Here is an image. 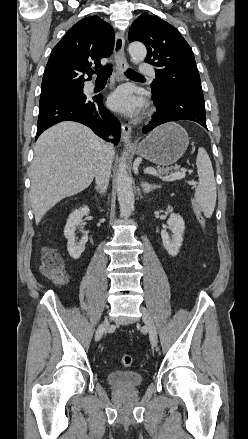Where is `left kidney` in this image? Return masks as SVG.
<instances>
[{
  "mask_svg": "<svg viewBox=\"0 0 248 439\" xmlns=\"http://www.w3.org/2000/svg\"><path fill=\"white\" fill-rule=\"evenodd\" d=\"M167 211L171 213L169 219L167 220V224L173 235L170 238L168 232L166 230H162V242L169 255L177 256L183 242L185 223L180 215L172 213L173 208L171 206H168Z\"/></svg>",
  "mask_w": 248,
  "mask_h": 439,
  "instance_id": "1",
  "label": "left kidney"
}]
</instances>
